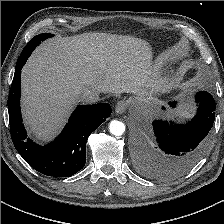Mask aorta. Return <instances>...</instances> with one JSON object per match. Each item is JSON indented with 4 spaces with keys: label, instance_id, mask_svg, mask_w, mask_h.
Returning <instances> with one entry per match:
<instances>
[{
    "label": "aorta",
    "instance_id": "obj_1",
    "mask_svg": "<svg viewBox=\"0 0 224 224\" xmlns=\"http://www.w3.org/2000/svg\"><path fill=\"white\" fill-rule=\"evenodd\" d=\"M109 129L113 135L120 136L125 132V125L121 121L112 120Z\"/></svg>",
    "mask_w": 224,
    "mask_h": 224
}]
</instances>
